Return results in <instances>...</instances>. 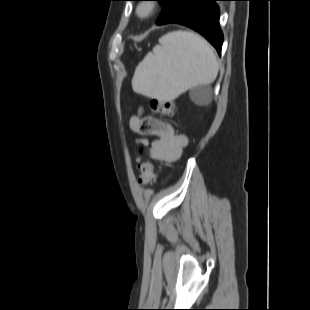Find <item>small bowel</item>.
<instances>
[{
	"mask_svg": "<svg viewBox=\"0 0 310 310\" xmlns=\"http://www.w3.org/2000/svg\"><path fill=\"white\" fill-rule=\"evenodd\" d=\"M129 124L134 132L156 137L152 140L137 139L139 144L148 147V153L154 160L174 162L181 157L187 145L188 139L185 135L176 133L170 124L145 115L142 108L130 118Z\"/></svg>",
	"mask_w": 310,
	"mask_h": 310,
	"instance_id": "c3829d8e",
	"label": "small bowel"
}]
</instances>
